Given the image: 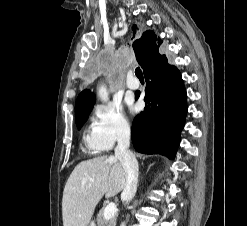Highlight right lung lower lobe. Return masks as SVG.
I'll return each instance as SVG.
<instances>
[{
    "label": "right lung lower lobe",
    "instance_id": "obj_1",
    "mask_svg": "<svg viewBox=\"0 0 247 226\" xmlns=\"http://www.w3.org/2000/svg\"><path fill=\"white\" fill-rule=\"evenodd\" d=\"M146 107L134 118L131 137L135 149L145 154L176 155L187 113V95L179 70L168 63L162 48L146 54Z\"/></svg>",
    "mask_w": 247,
    "mask_h": 226
}]
</instances>
